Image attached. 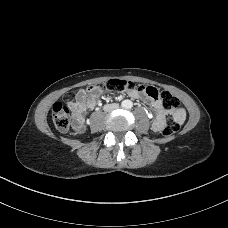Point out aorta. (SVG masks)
Wrapping results in <instances>:
<instances>
[{
	"label": "aorta",
	"mask_w": 228,
	"mask_h": 228,
	"mask_svg": "<svg viewBox=\"0 0 228 228\" xmlns=\"http://www.w3.org/2000/svg\"><path fill=\"white\" fill-rule=\"evenodd\" d=\"M122 106L126 109H130L133 106V102L131 100H124Z\"/></svg>",
	"instance_id": "762f6f07"
}]
</instances>
